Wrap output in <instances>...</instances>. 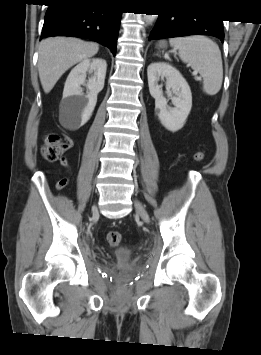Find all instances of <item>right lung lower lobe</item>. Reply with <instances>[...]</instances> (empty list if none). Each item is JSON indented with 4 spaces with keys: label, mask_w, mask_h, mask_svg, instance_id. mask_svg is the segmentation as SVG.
I'll list each match as a JSON object with an SVG mask.
<instances>
[{
    "label": "right lung lower lobe",
    "mask_w": 261,
    "mask_h": 355,
    "mask_svg": "<svg viewBox=\"0 0 261 355\" xmlns=\"http://www.w3.org/2000/svg\"><path fill=\"white\" fill-rule=\"evenodd\" d=\"M122 12L102 0H49L41 39L70 36L105 44L116 54Z\"/></svg>",
    "instance_id": "obj_1"
}]
</instances>
